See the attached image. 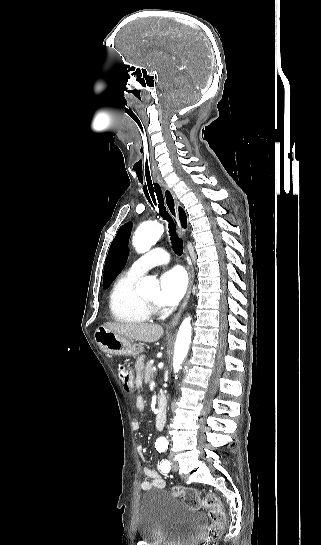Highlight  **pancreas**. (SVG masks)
<instances>
[{"label":"pancreas","mask_w":321,"mask_h":545,"mask_svg":"<svg viewBox=\"0 0 321 545\" xmlns=\"http://www.w3.org/2000/svg\"><path fill=\"white\" fill-rule=\"evenodd\" d=\"M153 369H154L153 363H150V361H148L145 367V377H144L145 383H152L151 379H153Z\"/></svg>","instance_id":"cf45deb5"}]
</instances>
